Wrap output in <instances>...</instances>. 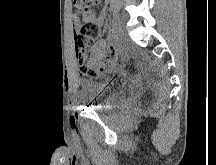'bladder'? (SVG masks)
I'll use <instances>...</instances> for the list:
<instances>
[{"label":"bladder","mask_w":216,"mask_h":165,"mask_svg":"<svg viewBox=\"0 0 216 165\" xmlns=\"http://www.w3.org/2000/svg\"><path fill=\"white\" fill-rule=\"evenodd\" d=\"M121 76H95V81L88 82L89 95L86 100L92 102L94 111H109V106L114 103V98L120 94Z\"/></svg>","instance_id":"1"}]
</instances>
